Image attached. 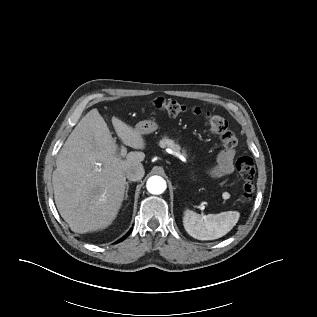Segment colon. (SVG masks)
Listing matches in <instances>:
<instances>
[{
  "instance_id": "1",
  "label": "colon",
  "mask_w": 317,
  "mask_h": 317,
  "mask_svg": "<svg viewBox=\"0 0 317 317\" xmlns=\"http://www.w3.org/2000/svg\"><path fill=\"white\" fill-rule=\"evenodd\" d=\"M153 104L158 111L164 112L169 116H178L186 111V107L183 104L165 98H157L154 100ZM193 111L195 114L203 115L205 117L209 129L219 136L224 148L232 149L236 146L237 137L229 129L228 123L223 117L202 112L199 108H196ZM236 169L244 180L242 199L245 202H248L252 198L254 192V162L250 157H239L236 161Z\"/></svg>"
}]
</instances>
